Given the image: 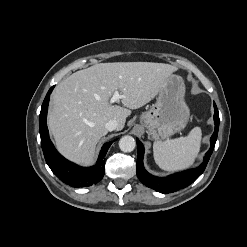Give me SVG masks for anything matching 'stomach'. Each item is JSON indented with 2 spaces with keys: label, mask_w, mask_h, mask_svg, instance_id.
Returning a JSON list of instances; mask_svg holds the SVG:
<instances>
[{
  "label": "stomach",
  "mask_w": 247,
  "mask_h": 247,
  "mask_svg": "<svg viewBox=\"0 0 247 247\" xmlns=\"http://www.w3.org/2000/svg\"><path fill=\"white\" fill-rule=\"evenodd\" d=\"M184 95L183 79L171 74L160 88L155 104L140 116V123L145 127L150 139H168L186 127L190 111Z\"/></svg>",
  "instance_id": "0dacf381"
}]
</instances>
